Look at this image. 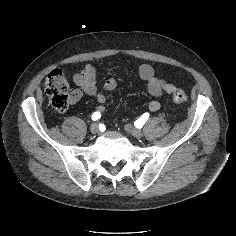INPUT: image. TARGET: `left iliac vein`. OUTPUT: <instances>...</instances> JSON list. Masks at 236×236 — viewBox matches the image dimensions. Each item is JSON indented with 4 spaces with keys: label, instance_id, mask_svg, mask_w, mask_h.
<instances>
[{
    "label": "left iliac vein",
    "instance_id": "left-iliac-vein-1",
    "mask_svg": "<svg viewBox=\"0 0 236 236\" xmlns=\"http://www.w3.org/2000/svg\"><path fill=\"white\" fill-rule=\"evenodd\" d=\"M125 130H126L127 133L131 134L135 138H141L142 135H143V133L140 129L134 128L130 124H127L125 126Z\"/></svg>",
    "mask_w": 236,
    "mask_h": 236
}]
</instances>
